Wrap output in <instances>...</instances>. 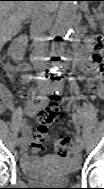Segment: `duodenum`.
Returning a JSON list of instances; mask_svg holds the SVG:
<instances>
[{
	"label": "duodenum",
	"mask_w": 104,
	"mask_h": 189,
	"mask_svg": "<svg viewBox=\"0 0 104 189\" xmlns=\"http://www.w3.org/2000/svg\"><path fill=\"white\" fill-rule=\"evenodd\" d=\"M82 59H90V58H88L86 55H84V56L82 57Z\"/></svg>",
	"instance_id": "obj_1"
}]
</instances>
